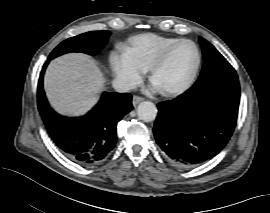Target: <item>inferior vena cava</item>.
Masks as SVG:
<instances>
[{"instance_id": "obj_1", "label": "inferior vena cava", "mask_w": 270, "mask_h": 213, "mask_svg": "<svg viewBox=\"0 0 270 213\" xmlns=\"http://www.w3.org/2000/svg\"><path fill=\"white\" fill-rule=\"evenodd\" d=\"M113 87L117 92L125 93L136 88V84L133 81L126 79H115L113 81Z\"/></svg>"}]
</instances>
